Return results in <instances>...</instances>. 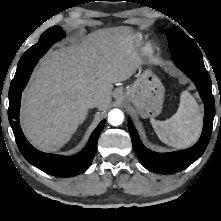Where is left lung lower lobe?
<instances>
[{
	"label": "left lung lower lobe",
	"instance_id": "obj_1",
	"mask_svg": "<svg viewBox=\"0 0 221 221\" xmlns=\"http://www.w3.org/2000/svg\"><path fill=\"white\" fill-rule=\"evenodd\" d=\"M180 68L196 85L204 102V127L199 141L191 148L172 153H156L147 149L140 141L138 132L128 124L132 144L141 162L152 172L170 174L179 172L195 162L205 151L212 131L215 115V103L211 90L210 76L205 66H199L182 60H174Z\"/></svg>",
	"mask_w": 221,
	"mask_h": 221
}]
</instances>
